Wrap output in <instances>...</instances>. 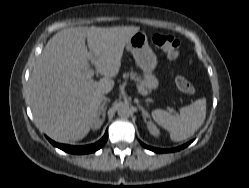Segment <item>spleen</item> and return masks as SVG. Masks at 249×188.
Masks as SVG:
<instances>
[{
  "mask_svg": "<svg viewBox=\"0 0 249 188\" xmlns=\"http://www.w3.org/2000/svg\"><path fill=\"white\" fill-rule=\"evenodd\" d=\"M152 117L173 141H183L191 137L203 124L206 117V99L196 100L189 106L180 108L179 115H171L164 110H154Z\"/></svg>",
  "mask_w": 249,
  "mask_h": 188,
  "instance_id": "1",
  "label": "spleen"
}]
</instances>
